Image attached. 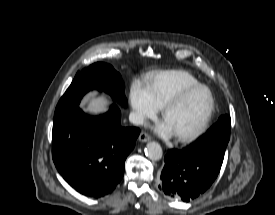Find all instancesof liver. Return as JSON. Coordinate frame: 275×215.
Instances as JSON below:
<instances>
[{"instance_id":"obj_1","label":"liver","mask_w":275,"mask_h":215,"mask_svg":"<svg viewBox=\"0 0 275 215\" xmlns=\"http://www.w3.org/2000/svg\"><path fill=\"white\" fill-rule=\"evenodd\" d=\"M109 104H110L109 98H107L104 95L97 96V97L92 96L89 99L85 110L92 114H99L106 111Z\"/></svg>"}]
</instances>
